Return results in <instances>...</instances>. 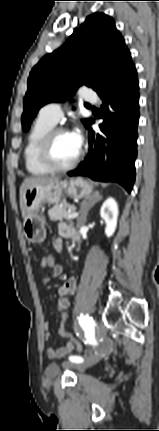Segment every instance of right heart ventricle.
Segmentation results:
<instances>
[{
	"instance_id": "right-heart-ventricle-1",
	"label": "right heart ventricle",
	"mask_w": 159,
	"mask_h": 431,
	"mask_svg": "<svg viewBox=\"0 0 159 431\" xmlns=\"http://www.w3.org/2000/svg\"><path fill=\"white\" fill-rule=\"evenodd\" d=\"M54 123L39 115L30 129L23 151L26 170L34 176H44L51 171L39 159V147L46 133L54 127Z\"/></svg>"
}]
</instances>
